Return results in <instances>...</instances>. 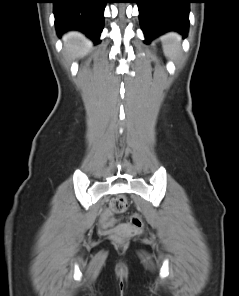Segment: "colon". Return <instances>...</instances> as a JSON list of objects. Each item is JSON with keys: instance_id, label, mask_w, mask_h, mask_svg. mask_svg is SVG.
<instances>
[{"instance_id": "obj_1", "label": "colon", "mask_w": 239, "mask_h": 296, "mask_svg": "<svg viewBox=\"0 0 239 296\" xmlns=\"http://www.w3.org/2000/svg\"><path fill=\"white\" fill-rule=\"evenodd\" d=\"M109 207L112 212L120 214L126 210L127 201L124 197L118 196L111 200ZM127 220L129 225L134 228H140L143 225L142 218L136 213L130 214Z\"/></svg>"}]
</instances>
